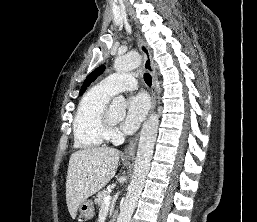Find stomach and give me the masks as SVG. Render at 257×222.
I'll return each instance as SVG.
<instances>
[{
  "instance_id": "0dacf381",
  "label": "stomach",
  "mask_w": 257,
  "mask_h": 222,
  "mask_svg": "<svg viewBox=\"0 0 257 222\" xmlns=\"http://www.w3.org/2000/svg\"><path fill=\"white\" fill-rule=\"evenodd\" d=\"M79 214L84 219H91L94 216V205L90 199H85L78 207Z\"/></svg>"
}]
</instances>
